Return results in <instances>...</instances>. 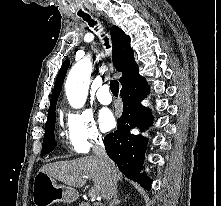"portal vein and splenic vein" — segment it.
Listing matches in <instances>:
<instances>
[{"mask_svg": "<svg viewBox=\"0 0 221 206\" xmlns=\"http://www.w3.org/2000/svg\"><path fill=\"white\" fill-rule=\"evenodd\" d=\"M89 196H90L92 199H98V198H100V197H99V194H98L95 190H91V191L89 192Z\"/></svg>", "mask_w": 221, "mask_h": 206, "instance_id": "portal-vein-and-splenic-vein-1", "label": "portal vein and splenic vein"}]
</instances>
